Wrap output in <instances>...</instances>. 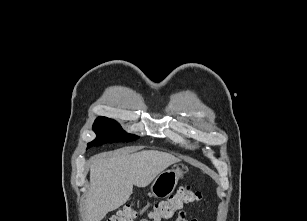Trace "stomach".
Masks as SVG:
<instances>
[{
    "label": "stomach",
    "instance_id": "0dacf381",
    "mask_svg": "<svg viewBox=\"0 0 307 221\" xmlns=\"http://www.w3.org/2000/svg\"><path fill=\"white\" fill-rule=\"evenodd\" d=\"M182 175L183 171L178 167L161 172L150 186L151 194L158 198L170 196Z\"/></svg>",
    "mask_w": 307,
    "mask_h": 221
}]
</instances>
